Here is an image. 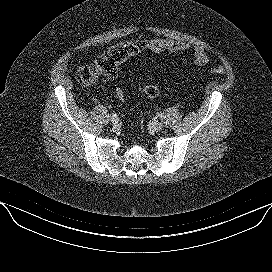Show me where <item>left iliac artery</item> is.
Masks as SVG:
<instances>
[{
    "label": "left iliac artery",
    "instance_id": "obj_1",
    "mask_svg": "<svg viewBox=\"0 0 272 272\" xmlns=\"http://www.w3.org/2000/svg\"><path fill=\"white\" fill-rule=\"evenodd\" d=\"M158 117L162 118L163 117L162 113H158Z\"/></svg>",
    "mask_w": 272,
    "mask_h": 272
}]
</instances>
